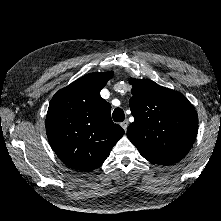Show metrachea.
<instances>
[{
    "label": "trachea",
    "instance_id": "1",
    "mask_svg": "<svg viewBox=\"0 0 221 221\" xmlns=\"http://www.w3.org/2000/svg\"><path fill=\"white\" fill-rule=\"evenodd\" d=\"M115 122H122L125 119L124 111L121 108H116L112 114Z\"/></svg>",
    "mask_w": 221,
    "mask_h": 221
}]
</instances>
